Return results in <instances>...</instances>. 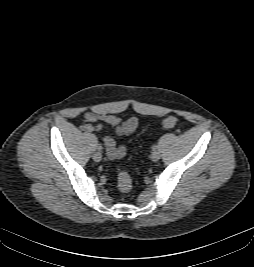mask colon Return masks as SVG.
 <instances>
[{"label": "colon", "instance_id": "1", "mask_svg": "<svg viewBox=\"0 0 254 267\" xmlns=\"http://www.w3.org/2000/svg\"><path fill=\"white\" fill-rule=\"evenodd\" d=\"M176 123H177V118L174 116H169L162 121V127L164 129H169L174 127ZM117 181H118V188L122 193H128L131 191L132 179L128 174V172L120 171L118 174Z\"/></svg>", "mask_w": 254, "mask_h": 267}]
</instances>
